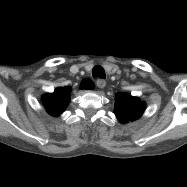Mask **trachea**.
Here are the masks:
<instances>
[{"mask_svg": "<svg viewBox=\"0 0 187 187\" xmlns=\"http://www.w3.org/2000/svg\"><path fill=\"white\" fill-rule=\"evenodd\" d=\"M93 77L105 78L106 74L102 66L96 65L92 70Z\"/></svg>", "mask_w": 187, "mask_h": 187, "instance_id": "trachea-1", "label": "trachea"}]
</instances>
